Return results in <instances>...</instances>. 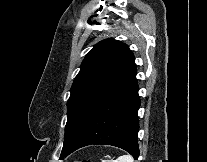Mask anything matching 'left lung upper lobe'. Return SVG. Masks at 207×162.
<instances>
[{
    "mask_svg": "<svg viewBox=\"0 0 207 162\" xmlns=\"http://www.w3.org/2000/svg\"><path fill=\"white\" fill-rule=\"evenodd\" d=\"M135 73L134 55L127 45L106 39L94 46L71 87L61 156L73 145L98 107Z\"/></svg>",
    "mask_w": 207,
    "mask_h": 162,
    "instance_id": "1",
    "label": "left lung upper lobe"
}]
</instances>
